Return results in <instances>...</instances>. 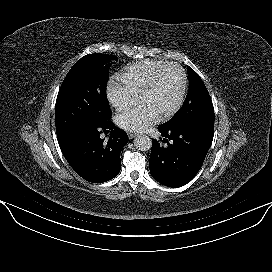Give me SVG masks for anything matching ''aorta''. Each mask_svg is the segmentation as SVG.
<instances>
[{
    "instance_id": "aorta-1",
    "label": "aorta",
    "mask_w": 272,
    "mask_h": 272,
    "mask_svg": "<svg viewBox=\"0 0 272 272\" xmlns=\"http://www.w3.org/2000/svg\"><path fill=\"white\" fill-rule=\"evenodd\" d=\"M134 146L140 151H148L152 147V141L147 135L141 134L135 137Z\"/></svg>"
}]
</instances>
